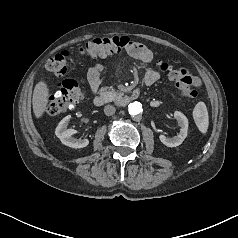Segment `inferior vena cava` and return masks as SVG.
I'll return each mask as SVG.
<instances>
[{
  "mask_svg": "<svg viewBox=\"0 0 238 238\" xmlns=\"http://www.w3.org/2000/svg\"><path fill=\"white\" fill-rule=\"evenodd\" d=\"M115 112H116V108L112 105H106L104 107V113L107 116H111V115L115 114Z\"/></svg>",
  "mask_w": 238,
  "mask_h": 238,
  "instance_id": "inferior-vena-cava-1",
  "label": "inferior vena cava"
}]
</instances>
